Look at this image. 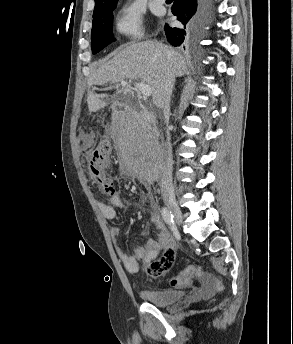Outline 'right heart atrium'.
<instances>
[{"label":"right heart atrium","mask_w":293,"mask_h":344,"mask_svg":"<svg viewBox=\"0 0 293 344\" xmlns=\"http://www.w3.org/2000/svg\"><path fill=\"white\" fill-rule=\"evenodd\" d=\"M113 29L119 36L133 42L140 41L146 32L143 16L134 6H125L116 12Z\"/></svg>","instance_id":"d8ad5b80"}]
</instances>
